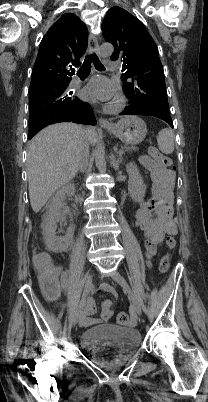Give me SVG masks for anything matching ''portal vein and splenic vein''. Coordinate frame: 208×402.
I'll return each mask as SVG.
<instances>
[{"instance_id": "1", "label": "portal vein and splenic vein", "mask_w": 208, "mask_h": 402, "mask_svg": "<svg viewBox=\"0 0 208 402\" xmlns=\"http://www.w3.org/2000/svg\"><path fill=\"white\" fill-rule=\"evenodd\" d=\"M120 148H123V145H120ZM122 152H123V149L116 150V151H115V154H116V155H119V156H122Z\"/></svg>"}]
</instances>
